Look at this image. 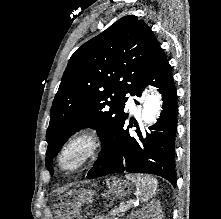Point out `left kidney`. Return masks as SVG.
Here are the masks:
<instances>
[{
    "mask_svg": "<svg viewBox=\"0 0 221 219\" xmlns=\"http://www.w3.org/2000/svg\"><path fill=\"white\" fill-rule=\"evenodd\" d=\"M161 212V205L160 202L157 200L149 203L141 210L132 213L130 219H163V215L161 214Z\"/></svg>",
    "mask_w": 221,
    "mask_h": 219,
    "instance_id": "obj_1",
    "label": "left kidney"
}]
</instances>
